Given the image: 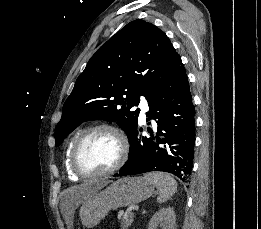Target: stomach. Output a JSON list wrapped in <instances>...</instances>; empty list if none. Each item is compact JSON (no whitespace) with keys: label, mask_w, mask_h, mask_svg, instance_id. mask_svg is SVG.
Returning <instances> with one entry per match:
<instances>
[{"label":"stomach","mask_w":261,"mask_h":229,"mask_svg":"<svg viewBox=\"0 0 261 229\" xmlns=\"http://www.w3.org/2000/svg\"><path fill=\"white\" fill-rule=\"evenodd\" d=\"M88 185H101L102 189L90 195L80 209L82 225L92 229L106 217L111 209L137 205L154 195L155 185L145 177H124L108 185V181H93Z\"/></svg>","instance_id":"1"}]
</instances>
